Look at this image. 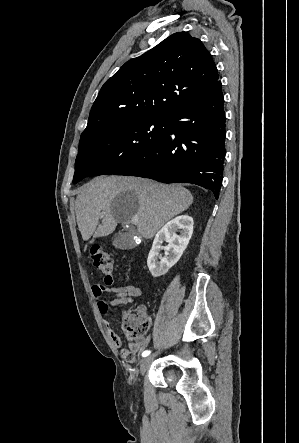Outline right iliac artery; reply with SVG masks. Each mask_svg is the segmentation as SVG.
Returning a JSON list of instances; mask_svg holds the SVG:
<instances>
[{
	"label": "right iliac artery",
	"mask_w": 299,
	"mask_h": 443,
	"mask_svg": "<svg viewBox=\"0 0 299 443\" xmlns=\"http://www.w3.org/2000/svg\"><path fill=\"white\" fill-rule=\"evenodd\" d=\"M150 353H151L150 350H145V351L142 353V357H146V356H148Z\"/></svg>",
	"instance_id": "right-iliac-artery-1"
}]
</instances>
